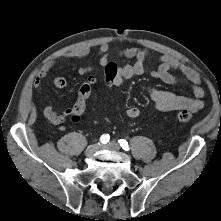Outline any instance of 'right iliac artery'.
Masks as SVG:
<instances>
[{"label": "right iliac artery", "instance_id": "right-iliac-artery-1", "mask_svg": "<svg viewBox=\"0 0 221 221\" xmlns=\"http://www.w3.org/2000/svg\"><path fill=\"white\" fill-rule=\"evenodd\" d=\"M109 139H110L109 134H103V135L100 137V143H101V144H106L107 142H109Z\"/></svg>", "mask_w": 221, "mask_h": 221}]
</instances>
